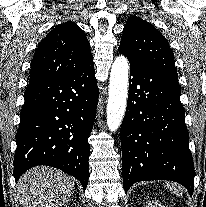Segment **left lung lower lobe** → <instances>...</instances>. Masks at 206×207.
<instances>
[{
	"mask_svg": "<svg viewBox=\"0 0 206 207\" xmlns=\"http://www.w3.org/2000/svg\"><path fill=\"white\" fill-rule=\"evenodd\" d=\"M130 66L121 125L124 190L139 181L170 180L192 195L195 172L178 76L134 61Z\"/></svg>",
	"mask_w": 206,
	"mask_h": 207,
	"instance_id": "0a47b994",
	"label": "left lung lower lobe"
}]
</instances>
